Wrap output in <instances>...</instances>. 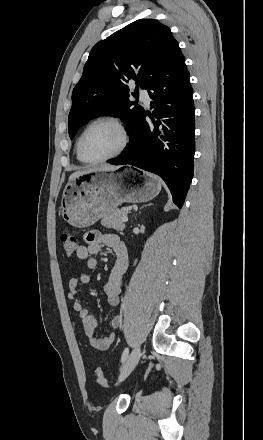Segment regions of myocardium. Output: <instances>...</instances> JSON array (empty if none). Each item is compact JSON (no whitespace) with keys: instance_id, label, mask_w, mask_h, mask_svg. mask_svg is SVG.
<instances>
[{"instance_id":"obj_1","label":"myocardium","mask_w":263,"mask_h":440,"mask_svg":"<svg viewBox=\"0 0 263 440\" xmlns=\"http://www.w3.org/2000/svg\"><path fill=\"white\" fill-rule=\"evenodd\" d=\"M103 122L111 123L115 127H117V129L120 131V134H121V143L116 151H114L112 154H110L106 157H103L100 159H95V160L88 159L83 153L84 138H85L86 134L88 133V131L93 126H95L96 124H99V123H103ZM129 142H130V134H129L128 128L120 118L115 117V116H101V117L94 119L92 122H90L85 127V129L83 130L81 135L79 136L78 141H77V155H78L79 159L84 163L100 164V163H104L106 161H109V160L114 159V158L118 157L119 155H121L128 147Z\"/></svg>"}]
</instances>
